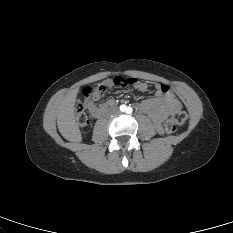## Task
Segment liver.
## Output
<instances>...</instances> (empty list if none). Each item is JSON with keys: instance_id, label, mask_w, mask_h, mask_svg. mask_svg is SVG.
Wrapping results in <instances>:
<instances>
[{"instance_id": "liver-1", "label": "liver", "mask_w": 233, "mask_h": 233, "mask_svg": "<svg viewBox=\"0 0 233 233\" xmlns=\"http://www.w3.org/2000/svg\"><path fill=\"white\" fill-rule=\"evenodd\" d=\"M77 89L69 91L57 108V126L61 135L69 140H75L79 132V124L75 117V101L77 96Z\"/></svg>"}]
</instances>
